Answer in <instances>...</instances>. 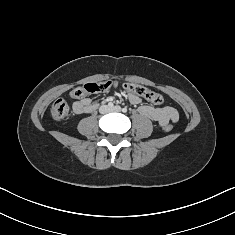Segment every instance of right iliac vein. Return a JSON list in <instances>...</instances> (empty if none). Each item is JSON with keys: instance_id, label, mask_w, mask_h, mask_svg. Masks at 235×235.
Here are the masks:
<instances>
[{"instance_id": "1", "label": "right iliac vein", "mask_w": 235, "mask_h": 235, "mask_svg": "<svg viewBox=\"0 0 235 235\" xmlns=\"http://www.w3.org/2000/svg\"><path fill=\"white\" fill-rule=\"evenodd\" d=\"M108 110H109V108L106 105L102 107L103 112H107Z\"/></svg>"}]
</instances>
